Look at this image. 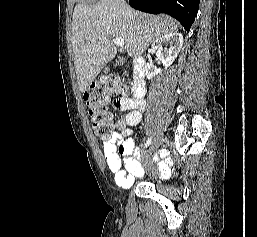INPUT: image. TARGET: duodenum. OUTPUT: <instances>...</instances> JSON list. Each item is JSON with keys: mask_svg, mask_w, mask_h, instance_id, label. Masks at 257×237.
<instances>
[{"mask_svg": "<svg viewBox=\"0 0 257 237\" xmlns=\"http://www.w3.org/2000/svg\"><path fill=\"white\" fill-rule=\"evenodd\" d=\"M145 78V60L142 57H136L133 61L132 90L134 98H142L145 94Z\"/></svg>", "mask_w": 257, "mask_h": 237, "instance_id": "obj_1", "label": "duodenum"}]
</instances>
